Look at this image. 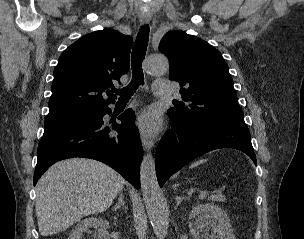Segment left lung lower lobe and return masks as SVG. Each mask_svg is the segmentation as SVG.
I'll return each mask as SVG.
<instances>
[{
    "mask_svg": "<svg viewBox=\"0 0 304 239\" xmlns=\"http://www.w3.org/2000/svg\"><path fill=\"white\" fill-rule=\"evenodd\" d=\"M168 115L172 128L163 136L156 151V174L160 187L187 163L215 149H238L256 164L245 123L218 121L192 128L170 113Z\"/></svg>",
    "mask_w": 304,
    "mask_h": 239,
    "instance_id": "0a47b994",
    "label": "left lung lower lobe"
}]
</instances>
